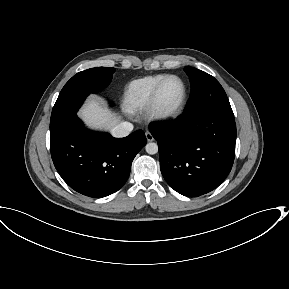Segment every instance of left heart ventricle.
<instances>
[{"mask_svg":"<svg viewBox=\"0 0 289 289\" xmlns=\"http://www.w3.org/2000/svg\"><path fill=\"white\" fill-rule=\"evenodd\" d=\"M182 85L176 79L168 80L161 91L160 104L164 108H171L175 106L182 97Z\"/></svg>","mask_w":289,"mask_h":289,"instance_id":"obj_1","label":"left heart ventricle"}]
</instances>
